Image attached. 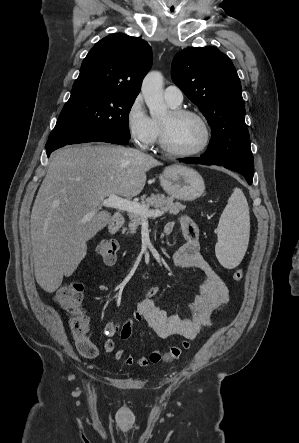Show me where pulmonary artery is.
<instances>
[{"label": "pulmonary artery", "mask_w": 299, "mask_h": 443, "mask_svg": "<svg viewBox=\"0 0 299 443\" xmlns=\"http://www.w3.org/2000/svg\"><path fill=\"white\" fill-rule=\"evenodd\" d=\"M164 98L169 105L177 107L183 101V92L179 87L170 85L164 90Z\"/></svg>", "instance_id": "1"}]
</instances>
